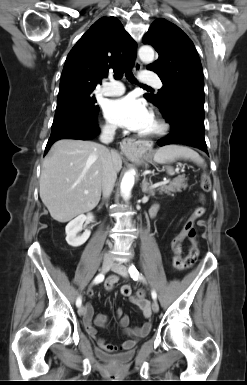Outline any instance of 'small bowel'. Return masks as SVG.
Returning a JSON list of instances; mask_svg holds the SVG:
<instances>
[{
  "label": "small bowel",
  "mask_w": 247,
  "mask_h": 385,
  "mask_svg": "<svg viewBox=\"0 0 247 385\" xmlns=\"http://www.w3.org/2000/svg\"><path fill=\"white\" fill-rule=\"evenodd\" d=\"M158 205L154 204L151 209H150V214L151 216H155L156 213L158 212ZM200 216H197L194 212V214L191 216L190 220L187 222L186 225H193L194 221L198 219ZM183 237L184 235H180ZM192 243L196 245L195 239H191ZM119 281V277L116 274L110 275L107 280L105 281V288L108 291L113 290L115 287L116 283ZM124 286H129V285H123L120 289L121 294H122V289ZM130 287V286H129ZM131 288V287H130ZM132 290L129 294L124 295L130 297L131 302L137 306V308L142 312L143 316L145 317L146 321L141 327H135V326H130V318L127 314L124 313V310L122 308H119L114 314L112 315H107L103 313H95L94 307L91 303H87L85 306L86 309V314L84 315L83 318V324L86 332L91 335L95 336L96 335V326L97 327H105L109 321L113 318L118 319V327L128 336H130L132 339L127 340L123 343H121L119 346H114L110 344H106L104 339L98 337L97 338V344L98 346L106 351L113 352V351H128L130 350L136 343L137 339H140L144 336H146L152 326L151 322V308H150V303L149 301L144 297V295L138 294L135 296L131 295ZM88 297L93 298L94 297V292L93 291H88L87 293ZM123 295V294H122Z\"/></svg>",
  "instance_id": "c3829d8e"
}]
</instances>
